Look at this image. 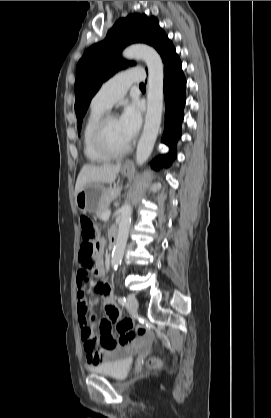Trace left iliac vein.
<instances>
[{
  "label": "left iliac vein",
  "instance_id": "1",
  "mask_svg": "<svg viewBox=\"0 0 271 418\" xmlns=\"http://www.w3.org/2000/svg\"><path fill=\"white\" fill-rule=\"evenodd\" d=\"M127 308L131 313H134L138 309V301L136 297L132 294L127 297Z\"/></svg>",
  "mask_w": 271,
  "mask_h": 418
}]
</instances>
